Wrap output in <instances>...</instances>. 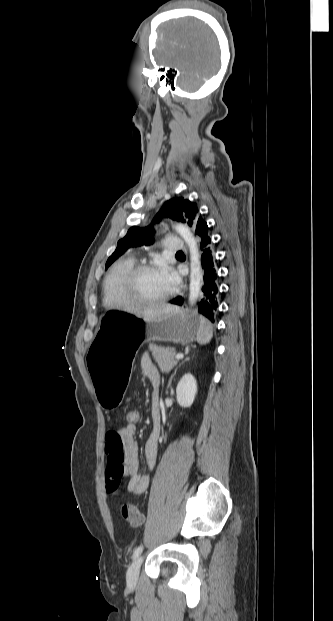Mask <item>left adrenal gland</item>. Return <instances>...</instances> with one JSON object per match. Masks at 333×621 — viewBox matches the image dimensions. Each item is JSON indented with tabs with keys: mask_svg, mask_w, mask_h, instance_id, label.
Here are the masks:
<instances>
[{
	"mask_svg": "<svg viewBox=\"0 0 333 621\" xmlns=\"http://www.w3.org/2000/svg\"><path fill=\"white\" fill-rule=\"evenodd\" d=\"M189 360H190V358H186L183 362H181V363L179 364V366H178V367H176V369L174 370L173 374L171 375V377H170V379H169L168 387L171 385L172 378L175 376V374H176L177 370H178V369H179V368H180V367H181V366H182L185 362H187V361H189Z\"/></svg>",
	"mask_w": 333,
	"mask_h": 621,
	"instance_id": "a2214340",
	"label": "left adrenal gland"
}]
</instances>
